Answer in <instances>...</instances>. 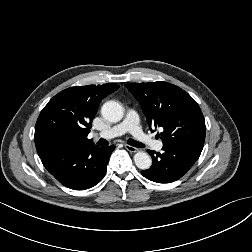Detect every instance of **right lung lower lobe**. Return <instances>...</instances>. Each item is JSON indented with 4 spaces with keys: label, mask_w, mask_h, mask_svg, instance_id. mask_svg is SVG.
<instances>
[{
    "label": "right lung lower lobe",
    "mask_w": 252,
    "mask_h": 252,
    "mask_svg": "<svg viewBox=\"0 0 252 252\" xmlns=\"http://www.w3.org/2000/svg\"><path fill=\"white\" fill-rule=\"evenodd\" d=\"M114 149V146L69 144L49 151L40 159L61 184L74 190H85L102 180Z\"/></svg>",
    "instance_id": "obj_1"
}]
</instances>
